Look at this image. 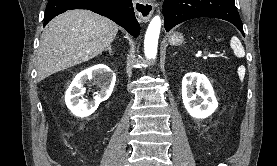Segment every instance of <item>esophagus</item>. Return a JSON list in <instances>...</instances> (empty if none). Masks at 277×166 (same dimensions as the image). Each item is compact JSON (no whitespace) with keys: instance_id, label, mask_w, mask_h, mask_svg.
Instances as JSON below:
<instances>
[{"instance_id":"esophagus-1","label":"esophagus","mask_w":277,"mask_h":166,"mask_svg":"<svg viewBox=\"0 0 277 166\" xmlns=\"http://www.w3.org/2000/svg\"><path fill=\"white\" fill-rule=\"evenodd\" d=\"M133 7L140 22H147L154 12V4L150 1L133 0Z\"/></svg>"}]
</instances>
